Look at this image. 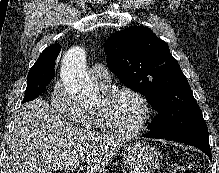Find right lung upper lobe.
Returning a JSON list of instances; mask_svg holds the SVG:
<instances>
[{"label": "right lung upper lobe", "instance_id": "1", "mask_svg": "<svg viewBox=\"0 0 219 173\" xmlns=\"http://www.w3.org/2000/svg\"><path fill=\"white\" fill-rule=\"evenodd\" d=\"M61 50V46L55 43L46 48L39 56L36 63L33 65V69H40L44 73L55 75V60Z\"/></svg>", "mask_w": 219, "mask_h": 173}]
</instances>
